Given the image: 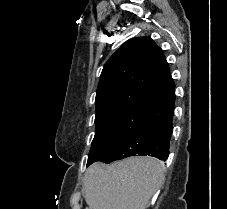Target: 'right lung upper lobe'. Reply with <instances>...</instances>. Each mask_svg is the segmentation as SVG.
I'll list each match as a JSON object with an SVG mask.
<instances>
[{"mask_svg":"<svg viewBox=\"0 0 227 209\" xmlns=\"http://www.w3.org/2000/svg\"><path fill=\"white\" fill-rule=\"evenodd\" d=\"M168 72L164 53L151 38L128 40L104 65L96 94V115L109 100L129 98L151 106L167 97L175 90Z\"/></svg>","mask_w":227,"mask_h":209,"instance_id":"cb5924a9","label":"right lung upper lobe"}]
</instances>
